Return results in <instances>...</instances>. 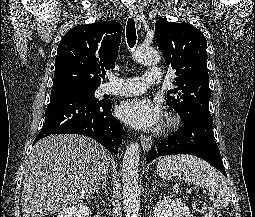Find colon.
<instances>
[{"instance_id": "obj_1", "label": "colon", "mask_w": 255, "mask_h": 217, "mask_svg": "<svg viewBox=\"0 0 255 217\" xmlns=\"http://www.w3.org/2000/svg\"><path fill=\"white\" fill-rule=\"evenodd\" d=\"M195 209L202 217H221L213 213V211L201 200L195 202Z\"/></svg>"}]
</instances>
